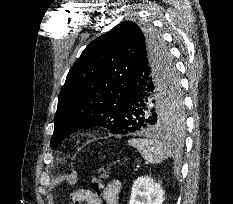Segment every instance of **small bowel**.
Listing matches in <instances>:
<instances>
[{"instance_id": "c3829d8e", "label": "small bowel", "mask_w": 233, "mask_h": 204, "mask_svg": "<svg viewBox=\"0 0 233 204\" xmlns=\"http://www.w3.org/2000/svg\"><path fill=\"white\" fill-rule=\"evenodd\" d=\"M120 189L121 183L118 180L109 182L99 197H92L86 189H80L78 190L82 195L80 204H119Z\"/></svg>"}]
</instances>
